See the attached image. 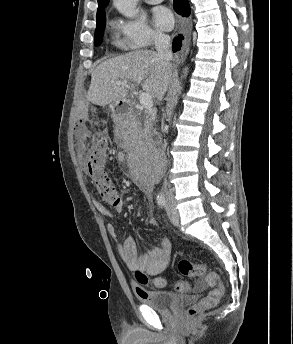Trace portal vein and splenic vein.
<instances>
[{"label":"portal vein and splenic vein","mask_w":293,"mask_h":344,"mask_svg":"<svg viewBox=\"0 0 293 344\" xmlns=\"http://www.w3.org/2000/svg\"><path fill=\"white\" fill-rule=\"evenodd\" d=\"M118 85H126L127 81H118L116 82ZM140 104L143 108L150 110L152 108L153 102L152 97L148 93H141L139 97Z\"/></svg>","instance_id":"obj_1"}]
</instances>
